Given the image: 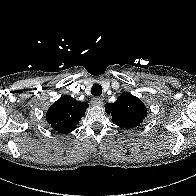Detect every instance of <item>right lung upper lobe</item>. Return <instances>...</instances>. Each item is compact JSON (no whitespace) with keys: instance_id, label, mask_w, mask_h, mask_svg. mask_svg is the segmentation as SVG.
I'll use <instances>...</instances> for the list:
<instances>
[{"instance_id":"1","label":"right lung upper lobe","mask_w":196,"mask_h":196,"mask_svg":"<svg viewBox=\"0 0 196 196\" xmlns=\"http://www.w3.org/2000/svg\"><path fill=\"white\" fill-rule=\"evenodd\" d=\"M87 107L88 103L64 95L48 109L46 119L58 133H68L76 129Z\"/></svg>"}]
</instances>
